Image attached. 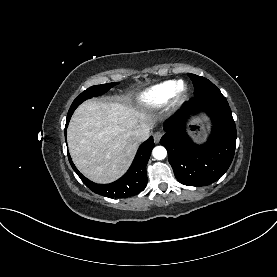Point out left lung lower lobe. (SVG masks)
Segmentation results:
<instances>
[{
	"label": "left lung lower lobe",
	"instance_id": "1",
	"mask_svg": "<svg viewBox=\"0 0 277 277\" xmlns=\"http://www.w3.org/2000/svg\"><path fill=\"white\" fill-rule=\"evenodd\" d=\"M206 112L213 123L208 141L192 142L185 130L189 114ZM195 128L194 126H191ZM160 143L168 152L176 179L187 186H206L217 181L229 168L235 153L236 127L226 98L219 92L194 96L164 124Z\"/></svg>",
	"mask_w": 277,
	"mask_h": 277
}]
</instances>
